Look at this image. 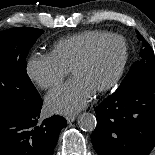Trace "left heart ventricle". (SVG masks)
I'll return each mask as SVG.
<instances>
[{
    "instance_id": "obj_1",
    "label": "left heart ventricle",
    "mask_w": 155,
    "mask_h": 155,
    "mask_svg": "<svg viewBox=\"0 0 155 155\" xmlns=\"http://www.w3.org/2000/svg\"><path fill=\"white\" fill-rule=\"evenodd\" d=\"M123 54L124 48L121 41H107L98 49L92 60L77 70L72 77L81 81L95 93L115 76L122 62Z\"/></svg>"
}]
</instances>
